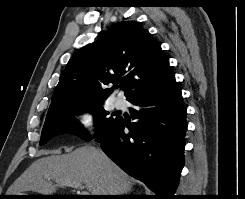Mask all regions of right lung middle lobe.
I'll return each instance as SVG.
<instances>
[{
    "instance_id": "dd1d6c3e",
    "label": "right lung middle lobe",
    "mask_w": 245,
    "mask_h": 199,
    "mask_svg": "<svg viewBox=\"0 0 245 199\" xmlns=\"http://www.w3.org/2000/svg\"><path fill=\"white\" fill-rule=\"evenodd\" d=\"M102 103L74 104L62 108L60 111L47 116L43 126L40 145L45 144L56 135L71 133L83 140H90L85 129L73 117L84 111H91L95 116V125L98 135L106 129L117 117H107L108 112L104 111Z\"/></svg>"
}]
</instances>
